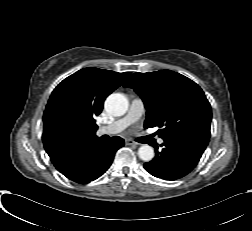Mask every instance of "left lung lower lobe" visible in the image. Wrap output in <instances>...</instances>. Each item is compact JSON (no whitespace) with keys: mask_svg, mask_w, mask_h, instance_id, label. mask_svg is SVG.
<instances>
[{"mask_svg":"<svg viewBox=\"0 0 252 231\" xmlns=\"http://www.w3.org/2000/svg\"><path fill=\"white\" fill-rule=\"evenodd\" d=\"M209 137L197 133H187L164 139V143L155 146V158L144 164L145 169L153 176L166 180L184 177L199 162L207 147Z\"/></svg>","mask_w":252,"mask_h":231,"instance_id":"obj_1","label":"left lung lower lobe"}]
</instances>
